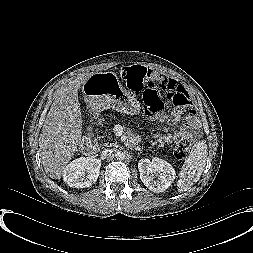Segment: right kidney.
Returning <instances> with one entry per match:
<instances>
[{
    "instance_id": "ca27d5eb",
    "label": "right kidney",
    "mask_w": 253,
    "mask_h": 253,
    "mask_svg": "<svg viewBox=\"0 0 253 253\" xmlns=\"http://www.w3.org/2000/svg\"><path fill=\"white\" fill-rule=\"evenodd\" d=\"M101 160L80 157L71 161L63 170V180L73 188L92 186L100 173Z\"/></svg>"
}]
</instances>
